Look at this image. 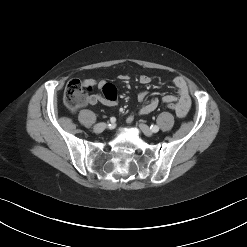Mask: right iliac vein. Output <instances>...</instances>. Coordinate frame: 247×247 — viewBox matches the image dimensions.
<instances>
[{
    "label": "right iliac vein",
    "instance_id": "obj_1",
    "mask_svg": "<svg viewBox=\"0 0 247 247\" xmlns=\"http://www.w3.org/2000/svg\"><path fill=\"white\" fill-rule=\"evenodd\" d=\"M106 128V124L105 123H98L94 126L93 131L95 133H101L104 131V129Z\"/></svg>",
    "mask_w": 247,
    "mask_h": 247
}]
</instances>
